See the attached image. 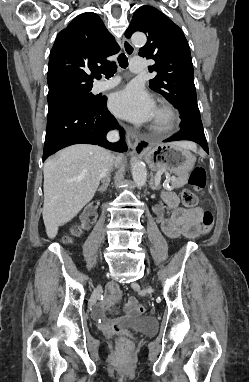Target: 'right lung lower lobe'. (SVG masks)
Segmentation results:
<instances>
[{
    "mask_svg": "<svg viewBox=\"0 0 249 382\" xmlns=\"http://www.w3.org/2000/svg\"><path fill=\"white\" fill-rule=\"evenodd\" d=\"M106 101L105 97L98 98L92 109L74 110L47 120L43 161L64 147L80 143L99 145L118 152L126 151L123 138L117 143L106 140L107 132L119 127L108 111ZM123 135L124 130L121 129Z\"/></svg>",
    "mask_w": 249,
    "mask_h": 382,
    "instance_id": "obj_1",
    "label": "right lung lower lobe"
}]
</instances>
